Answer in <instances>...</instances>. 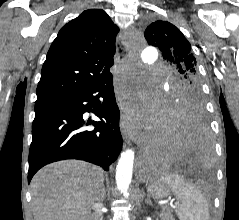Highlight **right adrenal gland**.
I'll use <instances>...</instances> for the list:
<instances>
[{"mask_svg":"<svg viewBox=\"0 0 239 220\" xmlns=\"http://www.w3.org/2000/svg\"><path fill=\"white\" fill-rule=\"evenodd\" d=\"M105 194H106V190H105V186L102 185L100 191H99V194H98V200H102L104 199L105 197Z\"/></svg>","mask_w":239,"mask_h":220,"instance_id":"obj_1","label":"right adrenal gland"}]
</instances>
